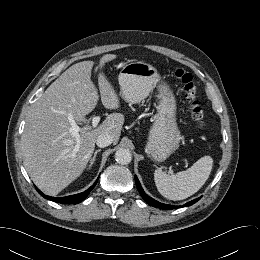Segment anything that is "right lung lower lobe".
Listing matches in <instances>:
<instances>
[{"label":"right lung lower lobe","instance_id":"98d812e1","mask_svg":"<svg viewBox=\"0 0 260 260\" xmlns=\"http://www.w3.org/2000/svg\"><path fill=\"white\" fill-rule=\"evenodd\" d=\"M96 183H97V181L83 193L66 196V197H60V198H55V197H50V196L44 195L39 189H37V188L36 189L40 195H42L44 198H46L48 200L58 202V203H63V204H77V203L83 201L87 197V195L90 193V191L95 187Z\"/></svg>","mask_w":260,"mask_h":260}]
</instances>
